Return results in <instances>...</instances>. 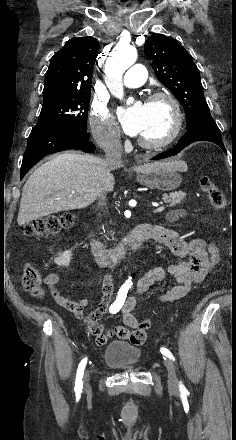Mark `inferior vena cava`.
Here are the masks:
<instances>
[{"label":"inferior vena cava","mask_w":236,"mask_h":440,"mask_svg":"<svg viewBox=\"0 0 236 440\" xmlns=\"http://www.w3.org/2000/svg\"><path fill=\"white\" fill-rule=\"evenodd\" d=\"M105 151V161L108 169L112 170L122 165V144L119 138L110 137L108 138L107 146ZM106 193L101 192L98 196V207L103 209L106 206Z\"/></svg>","instance_id":"1"}]
</instances>
